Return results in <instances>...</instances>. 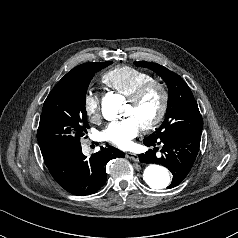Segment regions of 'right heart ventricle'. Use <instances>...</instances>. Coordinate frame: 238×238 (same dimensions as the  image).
<instances>
[{"label":"right heart ventricle","instance_id":"obj_1","mask_svg":"<svg viewBox=\"0 0 238 238\" xmlns=\"http://www.w3.org/2000/svg\"><path fill=\"white\" fill-rule=\"evenodd\" d=\"M152 76L131 66H118L106 71L101 76V83L118 93L129 97L134 91Z\"/></svg>","mask_w":238,"mask_h":238}]
</instances>
